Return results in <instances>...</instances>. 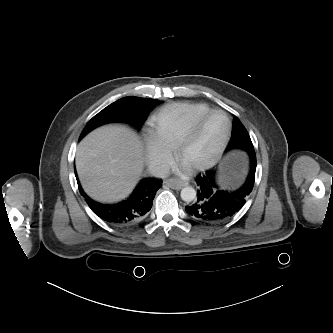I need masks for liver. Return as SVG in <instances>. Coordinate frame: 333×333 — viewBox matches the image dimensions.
Masks as SVG:
<instances>
[{
    "label": "liver",
    "mask_w": 333,
    "mask_h": 333,
    "mask_svg": "<svg viewBox=\"0 0 333 333\" xmlns=\"http://www.w3.org/2000/svg\"><path fill=\"white\" fill-rule=\"evenodd\" d=\"M143 147L135 132L117 125L99 128L76 151V170L84 191L100 202L124 198L143 169Z\"/></svg>",
    "instance_id": "liver-1"
}]
</instances>
